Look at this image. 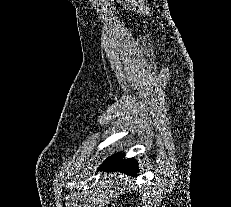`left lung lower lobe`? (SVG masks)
I'll use <instances>...</instances> for the list:
<instances>
[{
  "label": "left lung lower lobe",
  "mask_w": 231,
  "mask_h": 207,
  "mask_svg": "<svg viewBox=\"0 0 231 207\" xmlns=\"http://www.w3.org/2000/svg\"><path fill=\"white\" fill-rule=\"evenodd\" d=\"M100 170L120 171L127 174L137 175L138 164L133 159H123L122 154L109 157L102 165Z\"/></svg>",
  "instance_id": "left-lung-lower-lobe-1"
}]
</instances>
